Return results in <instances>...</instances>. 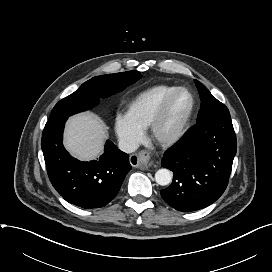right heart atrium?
<instances>
[{
    "label": "right heart atrium",
    "mask_w": 272,
    "mask_h": 272,
    "mask_svg": "<svg viewBox=\"0 0 272 272\" xmlns=\"http://www.w3.org/2000/svg\"><path fill=\"white\" fill-rule=\"evenodd\" d=\"M114 127L121 146L127 151L137 148L144 139V130L138 127L126 113L116 115Z\"/></svg>",
    "instance_id": "d8ad5b80"
}]
</instances>
